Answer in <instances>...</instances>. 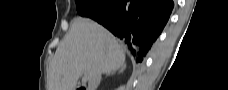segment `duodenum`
<instances>
[{
    "label": "duodenum",
    "instance_id": "obj_1",
    "mask_svg": "<svg viewBox=\"0 0 228 90\" xmlns=\"http://www.w3.org/2000/svg\"><path fill=\"white\" fill-rule=\"evenodd\" d=\"M77 90H87V88H86V87L81 86V87H78V88H77Z\"/></svg>",
    "mask_w": 228,
    "mask_h": 90
}]
</instances>
